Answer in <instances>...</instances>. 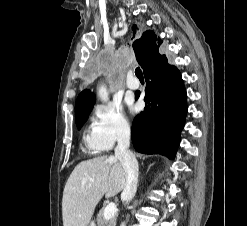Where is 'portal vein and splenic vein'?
<instances>
[{"mask_svg":"<svg viewBox=\"0 0 247 226\" xmlns=\"http://www.w3.org/2000/svg\"><path fill=\"white\" fill-rule=\"evenodd\" d=\"M117 212V207L114 203H109L104 210V218L110 219Z\"/></svg>","mask_w":247,"mask_h":226,"instance_id":"portal-vein-and-splenic-vein-1","label":"portal vein and splenic vein"}]
</instances>
